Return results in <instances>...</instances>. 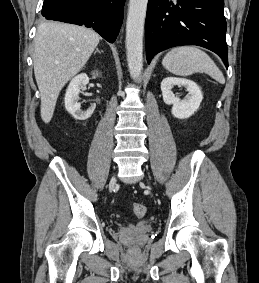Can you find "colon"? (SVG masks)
Segmentation results:
<instances>
[{"label": "colon", "mask_w": 259, "mask_h": 283, "mask_svg": "<svg viewBox=\"0 0 259 283\" xmlns=\"http://www.w3.org/2000/svg\"><path fill=\"white\" fill-rule=\"evenodd\" d=\"M132 212L136 217H143L146 212V208L141 203H134L132 205Z\"/></svg>", "instance_id": "1"}]
</instances>
